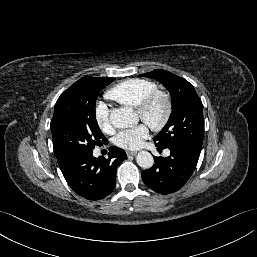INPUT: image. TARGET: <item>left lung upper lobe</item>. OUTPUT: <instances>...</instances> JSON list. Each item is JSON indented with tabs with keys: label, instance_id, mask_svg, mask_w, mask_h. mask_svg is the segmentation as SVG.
I'll return each instance as SVG.
<instances>
[{
	"label": "left lung upper lobe",
	"instance_id": "1",
	"mask_svg": "<svg viewBox=\"0 0 257 257\" xmlns=\"http://www.w3.org/2000/svg\"><path fill=\"white\" fill-rule=\"evenodd\" d=\"M157 79L170 92L172 112L165 127L155 136V145H180L201 151L204 136L203 105L194 87L185 79L162 69L144 74Z\"/></svg>",
	"mask_w": 257,
	"mask_h": 257
}]
</instances>
